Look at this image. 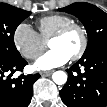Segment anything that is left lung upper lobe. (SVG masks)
Returning <instances> with one entry per match:
<instances>
[{
    "label": "left lung upper lobe",
    "instance_id": "obj_1",
    "mask_svg": "<svg viewBox=\"0 0 107 107\" xmlns=\"http://www.w3.org/2000/svg\"><path fill=\"white\" fill-rule=\"evenodd\" d=\"M59 11L75 15L84 24L88 34V45L83 56L107 46V13L85 2L71 4L60 8Z\"/></svg>",
    "mask_w": 107,
    "mask_h": 107
}]
</instances>
